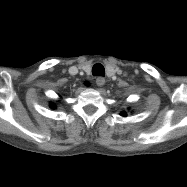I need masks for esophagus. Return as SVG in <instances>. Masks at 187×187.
<instances>
[{"mask_svg":"<svg viewBox=\"0 0 187 187\" xmlns=\"http://www.w3.org/2000/svg\"><path fill=\"white\" fill-rule=\"evenodd\" d=\"M96 84L97 86H103L105 84V78L104 77H97L96 78Z\"/></svg>","mask_w":187,"mask_h":187,"instance_id":"1","label":"esophagus"}]
</instances>
